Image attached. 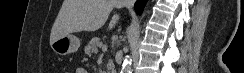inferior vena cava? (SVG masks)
I'll use <instances>...</instances> for the list:
<instances>
[{
	"label": "inferior vena cava",
	"instance_id": "inferior-vena-cava-1",
	"mask_svg": "<svg viewBox=\"0 0 244 73\" xmlns=\"http://www.w3.org/2000/svg\"><path fill=\"white\" fill-rule=\"evenodd\" d=\"M123 5L127 8H132L134 4V0H124L122 1Z\"/></svg>",
	"mask_w": 244,
	"mask_h": 73
}]
</instances>
